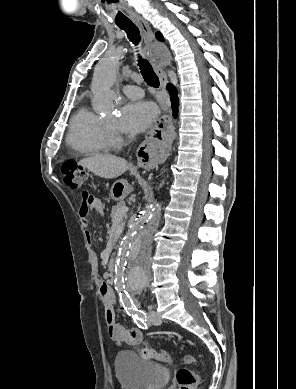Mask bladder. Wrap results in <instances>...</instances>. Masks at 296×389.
<instances>
[{"label": "bladder", "instance_id": "bladder-1", "mask_svg": "<svg viewBox=\"0 0 296 389\" xmlns=\"http://www.w3.org/2000/svg\"><path fill=\"white\" fill-rule=\"evenodd\" d=\"M115 371L122 389H160L170 377L168 368L130 350L116 355Z\"/></svg>", "mask_w": 296, "mask_h": 389}]
</instances>
